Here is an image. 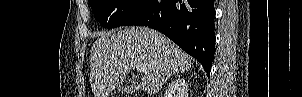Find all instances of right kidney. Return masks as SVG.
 <instances>
[{"label": "right kidney", "instance_id": "ca27d5eb", "mask_svg": "<svg viewBox=\"0 0 302 97\" xmlns=\"http://www.w3.org/2000/svg\"><path fill=\"white\" fill-rule=\"evenodd\" d=\"M174 92H178L181 97L188 96V84L184 79H176L172 82L170 86V94H173Z\"/></svg>", "mask_w": 302, "mask_h": 97}]
</instances>
